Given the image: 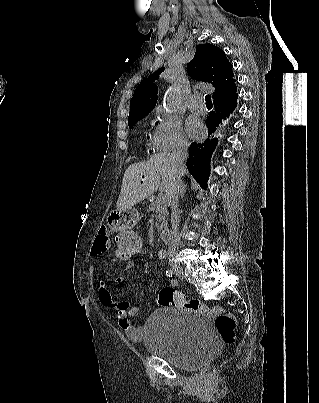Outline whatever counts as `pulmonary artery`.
I'll return each mask as SVG.
<instances>
[{"label":"pulmonary artery","mask_w":319,"mask_h":403,"mask_svg":"<svg viewBox=\"0 0 319 403\" xmlns=\"http://www.w3.org/2000/svg\"><path fill=\"white\" fill-rule=\"evenodd\" d=\"M188 107L190 110L195 112H204L205 111V103L203 98L199 95H194L188 102Z\"/></svg>","instance_id":"1"}]
</instances>
